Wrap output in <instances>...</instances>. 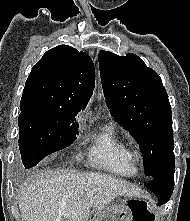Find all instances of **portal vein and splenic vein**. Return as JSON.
<instances>
[{
  "instance_id": "obj_1",
  "label": "portal vein and splenic vein",
  "mask_w": 190,
  "mask_h": 221,
  "mask_svg": "<svg viewBox=\"0 0 190 221\" xmlns=\"http://www.w3.org/2000/svg\"><path fill=\"white\" fill-rule=\"evenodd\" d=\"M93 196V192H88L87 194H86V197H92Z\"/></svg>"
}]
</instances>
